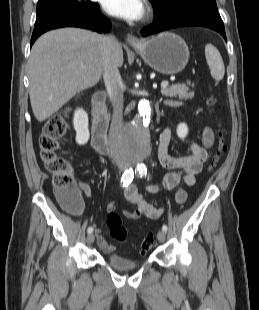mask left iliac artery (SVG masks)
<instances>
[{
  "label": "left iliac artery",
  "instance_id": "1",
  "mask_svg": "<svg viewBox=\"0 0 259 310\" xmlns=\"http://www.w3.org/2000/svg\"><path fill=\"white\" fill-rule=\"evenodd\" d=\"M137 173H138V175H140V176H144V175H146L147 174V168H146V166H145V164H138L137 165ZM167 229H168V227H167V225H163L162 226V230L164 231V232H166L167 231Z\"/></svg>",
  "mask_w": 259,
  "mask_h": 310
}]
</instances>
